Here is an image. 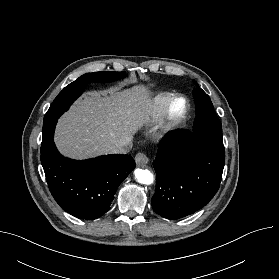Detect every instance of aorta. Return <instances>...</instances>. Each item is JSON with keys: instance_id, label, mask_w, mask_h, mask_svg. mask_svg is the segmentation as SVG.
Instances as JSON below:
<instances>
[{"instance_id": "1", "label": "aorta", "mask_w": 279, "mask_h": 279, "mask_svg": "<svg viewBox=\"0 0 279 279\" xmlns=\"http://www.w3.org/2000/svg\"><path fill=\"white\" fill-rule=\"evenodd\" d=\"M134 174L137 181L141 184L150 185L154 181L153 174L149 170L136 169Z\"/></svg>"}]
</instances>
